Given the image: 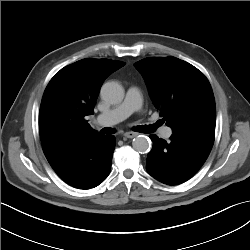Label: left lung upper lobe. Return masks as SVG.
<instances>
[{
  "mask_svg": "<svg viewBox=\"0 0 250 250\" xmlns=\"http://www.w3.org/2000/svg\"><path fill=\"white\" fill-rule=\"evenodd\" d=\"M151 100L173 133L215 134V100L207 78L175 57H148L135 63Z\"/></svg>",
  "mask_w": 250,
  "mask_h": 250,
  "instance_id": "obj_1",
  "label": "left lung upper lobe"
}]
</instances>
